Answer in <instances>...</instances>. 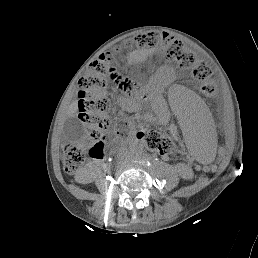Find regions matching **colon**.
<instances>
[{
    "instance_id": "colon-1",
    "label": "colon",
    "mask_w": 258,
    "mask_h": 258,
    "mask_svg": "<svg viewBox=\"0 0 258 258\" xmlns=\"http://www.w3.org/2000/svg\"><path fill=\"white\" fill-rule=\"evenodd\" d=\"M134 44L143 49L162 48L168 57L181 66L191 68L194 78L201 83V91L207 97L216 94V85L211 79V70L202 61H198L193 51H185L181 42L168 34L157 32H145L134 39ZM119 49H113L101 54L93 61L79 84V110L82 122L85 125L90 139L96 142L94 149L98 156L104 154L110 140H103V132L110 126V120L106 115L109 101L106 89L109 82H114L120 91L129 94L135 83L120 75L114 67L116 54ZM144 144L151 150L161 154H172L176 150V144L171 138L157 130L142 132ZM90 149V150H91ZM85 153L76 145H68L64 152L63 163L65 170L74 173L83 163Z\"/></svg>"
}]
</instances>
